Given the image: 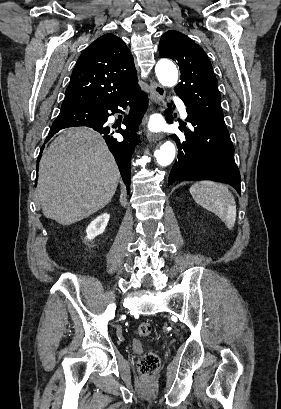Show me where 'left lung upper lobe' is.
Listing matches in <instances>:
<instances>
[{
	"mask_svg": "<svg viewBox=\"0 0 281 409\" xmlns=\"http://www.w3.org/2000/svg\"><path fill=\"white\" fill-rule=\"evenodd\" d=\"M159 52L179 65L181 82L174 90L186 107L224 123L217 79L205 51L188 36L170 30L161 37Z\"/></svg>",
	"mask_w": 281,
	"mask_h": 409,
	"instance_id": "left-lung-upper-lobe-1",
	"label": "left lung upper lobe"
}]
</instances>
